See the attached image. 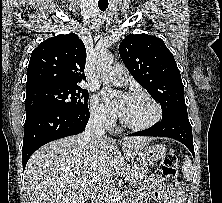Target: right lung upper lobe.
Returning <instances> with one entry per match:
<instances>
[{"mask_svg": "<svg viewBox=\"0 0 222 203\" xmlns=\"http://www.w3.org/2000/svg\"><path fill=\"white\" fill-rule=\"evenodd\" d=\"M86 49L74 34L43 41L31 54L26 91L40 87L78 85L85 80Z\"/></svg>", "mask_w": 222, "mask_h": 203, "instance_id": "right-lung-upper-lobe-1", "label": "right lung upper lobe"}]
</instances>
